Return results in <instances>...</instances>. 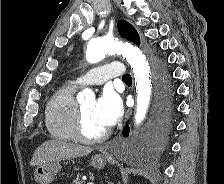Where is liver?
<instances>
[{
  "mask_svg": "<svg viewBox=\"0 0 224 184\" xmlns=\"http://www.w3.org/2000/svg\"><path fill=\"white\" fill-rule=\"evenodd\" d=\"M93 151L92 148L67 143L58 140H49L37 148L31 159V166H39L49 162H57L65 159L83 157Z\"/></svg>",
  "mask_w": 224,
  "mask_h": 184,
  "instance_id": "liver-1",
  "label": "liver"
}]
</instances>
